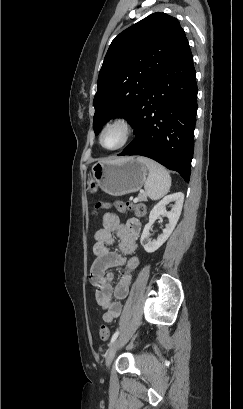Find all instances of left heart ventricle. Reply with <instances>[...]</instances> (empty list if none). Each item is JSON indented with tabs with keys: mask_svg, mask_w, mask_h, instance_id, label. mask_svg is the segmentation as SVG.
I'll list each match as a JSON object with an SVG mask.
<instances>
[{
	"mask_svg": "<svg viewBox=\"0 0 243 409\" xmlns=\"http://www.w3.org/2000/svg\"><path fill=\"white\" fill-rule=\"evenodd\" d=\"M123 139V132L120 128L112 127L106 130L102 136V143L107 148L116 147Z\"/></svg>",
	"mask_w": 243,
	"mask_h": 409,
	"instance_id": "b2bd125f",
	"label": "left heart ventricle"
}]
</instances>
